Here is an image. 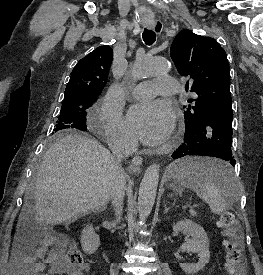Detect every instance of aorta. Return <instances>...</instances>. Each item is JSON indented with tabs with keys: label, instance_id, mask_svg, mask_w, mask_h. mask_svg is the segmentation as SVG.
Wrapping results in <instances>:
<instances>
[{
	"label": "aorta",
	"instance_id": "762f6f07",
	"mask_svg": "<svg viewBox=\"0 0 263 275\" xmlns=\"http://www.w3.org/2000/svg\"><path fill=\"white\" fill-rule=\"evenodd\" d=\"M169 70V64L162 58H144L135 62L131 71V77L135 80L152 75L165 73ZM159 169L157 164L150 165L140 184L138 196V215L140 221H145L151 213L155 202L159 182Z\"/></svg>",
	"mask_w": 263,
	"mask_h": 275
}]
</instances>
